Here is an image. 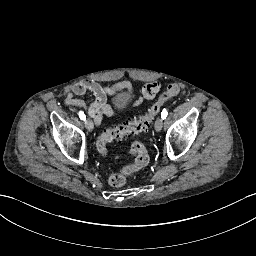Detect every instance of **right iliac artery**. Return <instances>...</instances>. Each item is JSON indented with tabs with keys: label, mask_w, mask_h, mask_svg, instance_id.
<instances>
[{
	"label": "right iliac artery",
	"mask_w": 256,
	"mask_h": 256,
	"mask_svg": "<svg viewBox=\"0 0 256 256\" xmlns=\"http://www.w3.org/2000/svg\"><path fill=\"white\" fill-rule=\"evenodd\" d=\"M79 117H80L81 120H85L86 119V116H85L83 111H79Z\"/></svg>",
	"instance_id": "right-iliac-artery-1"
}]
</instances>
